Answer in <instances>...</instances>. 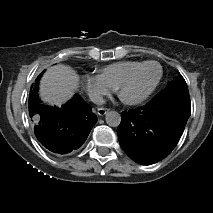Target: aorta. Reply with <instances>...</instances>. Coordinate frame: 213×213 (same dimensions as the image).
Wrapping results in <instances>:
<instances>
[{
    "label": "aorta",
    "mask_w": 213,
    "mask_h": 213,
    "mask_svg": "<svg viewBox=\"0 0 213 213\" xmlns=\"http://www.w3.org/2000/svg\"><path fill=\"white\" fill-rule=\"evenodd\" d=\"M105 120L108 126L118 127L121 122V115L114 110H109L105 115Z\"/></svg>",
    "instance_id": "aorta-1"
}]
</instances>
